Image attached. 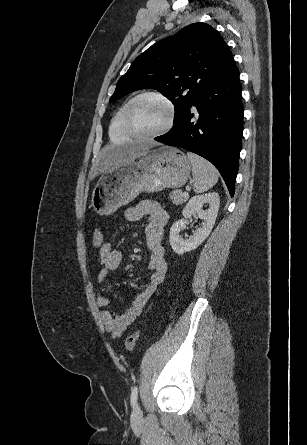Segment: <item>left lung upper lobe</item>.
Here are the masks:
<instances>
[{"label": "left lung upper lobe", "instance_id": "5c2ea615", "mask_svg": "<svg viewBox=\"0 0 307 445\" xmlns=\"http://www.w3.org/2000/svg\"><path fill=\"white\" fill-rule=\"evenodd\" d=\"M232 53L206 23H193L139 55L119 79L110 101L140 89H156L175 106V125L194 100L229 66Z\"/></svg>", "mask_w": 307, "mask_h": 445}]
</instances>
